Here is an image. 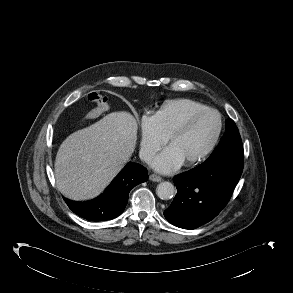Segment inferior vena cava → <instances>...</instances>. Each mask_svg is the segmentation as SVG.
<instances>
[{
	"label": "inferior vena cava",
	"mask_w": 293,
	"mask_h": 293,
	"mask_svg": "<svg viewBox=\"0 0 293 293\" xmlns=\"http://www.w3.org/2000/svg\"><path fill=\"white\" fill-rule=\"evenodd\" d=\"M139 156H140V159L143 160L144 162L150 163L153 160L155 154L150 150L141 149L139 152Z\"/></svg>",
	"instance_id": "inferior-vena-cava-1"
}]
</instances>
